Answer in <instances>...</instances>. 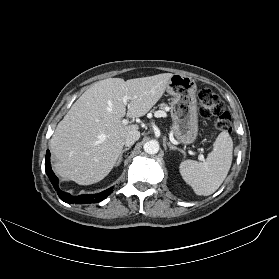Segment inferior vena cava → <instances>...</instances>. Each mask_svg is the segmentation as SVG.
<instances>
[{
    "label": "inferior vena cava",
    "instance_id": "inferior-vena-cava-1",
    "mask_svg": "<svg viewBox=\"0 0 279 279\" xmlns=\"http://www.w3.org/2000/svg\"><path fill=\"white\" fill-rule=\"evenodd\" d=\"M140 138V132L139 131H131L127 134L124 144L125 146H131L133 145L138 139Z\"/></svg>",
    "mask_w": 279,
    "mask_h": 279
}]
</instances>
